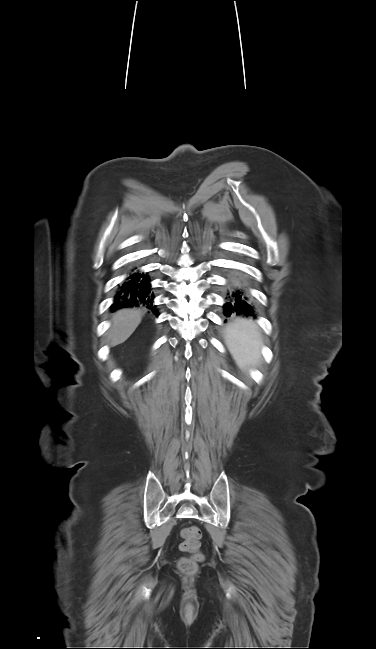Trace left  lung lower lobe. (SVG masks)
<instances>
[{
  "label": "left lung lower lobe",
  "instance_id": "obj_1",
  "mask_svg": "<svg viewBox=\"0 0 376 649\" xmlns=\"http://www.w3.org/2000/svg\"><path fill=\"white\" fill-rule=\"evenodd\" d=\"M232 297L234 299L226 302L223 306L225 316L229 317L234 312L238 315L254 316V307L247 302L241 289L235 288Z\"/></svg>",
  "mask_w": 376,
  "mask_h": 649
}]
</instances>
